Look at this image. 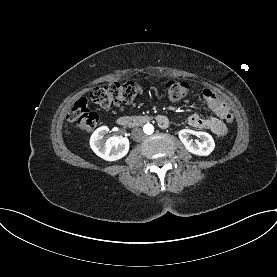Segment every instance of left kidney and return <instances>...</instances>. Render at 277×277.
Listing matches in <instances>:
<instances>
[{"label":"left kidney","mask_w":277,"mask_h":277,"mask_svg":"<svg viewBox=\"0 0 277 277\" xmlns=\"http://www.w3.org/2000/svg\"><path fill=\"white\" fill-rule=\"evenodd\" d=\"M191 134H196L201 139V142L190 139ZM179 138L190 153L198 156H208L215 148L212 136L206 132L183 129L179 132Z\"/></svg>","instance_id":"5707ae66"}]
</instances>
